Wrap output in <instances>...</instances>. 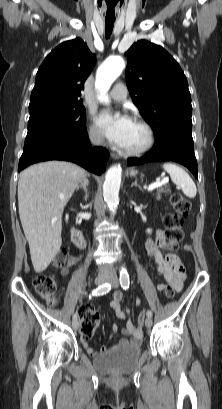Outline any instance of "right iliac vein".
I'll use <instances>...</instances> for the list:
<instances>
[{
	"label": "right iliac vein",
	"instance_id": "63e3f726",
	"mask_svg": "<svg viewBox=\"0 0 222 409\" xmlns=\"http://www.w3.org/2000/svg\"><path fill=\"white\" fill-rule=\"evenodd\" d=\"M108 280H109V279H108V277H107L105 274H100V275H98V276L96 277L95 283H96L97 285H101V284H104L105 282H107ZM72 325H73L74 329H78V328H79V323H78L76 320L73 321Z\"/></svg>",
	"mask_w": 222,
	"mask_h": 409
}]
</instances>
